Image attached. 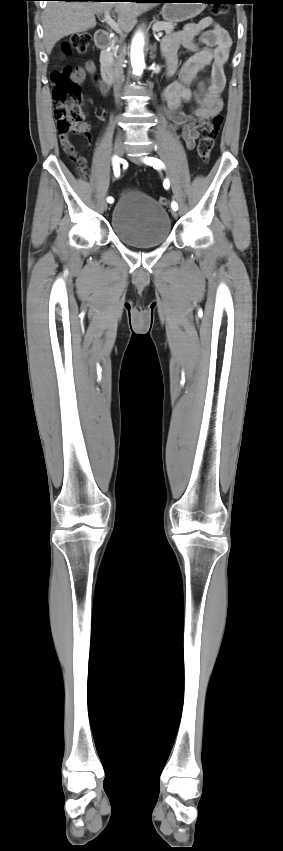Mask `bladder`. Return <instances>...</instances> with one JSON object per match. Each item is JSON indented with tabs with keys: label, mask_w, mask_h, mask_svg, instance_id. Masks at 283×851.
Returning <instances> with one entry per match:
<instances>
[{
	"label": "bladder",
	"mask_w": 283,
	"mask_h": 851,
	"mask_svg": "<svg viewBox=\"0 0 283 851\" xmlns=\"http://www.w3.org/2000/svg\"><path fill=\"white\" fill-rule=\"evenodd\" d=\"M111 227L124 244L135 248H153L164 243L171 233L167 210L149 195L131 190L115 203Z\"/></svg>",
	"instance_id": "1"
}]
</instances>
